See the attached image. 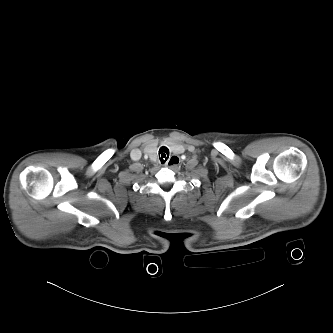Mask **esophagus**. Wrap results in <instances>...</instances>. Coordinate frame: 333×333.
<instances>
[{
  "label": "esophagus",
  "instance_id": "34e87169",
  "mask_svg": "<svg viewBox=\"0 0 333 333\" xmlns=\"http://www.w3.org/2000/svg\"><path fill=\"white\" fill-rule=\"evenodd\" d=\"M179 162V158H178V156H176V155H172L169 159H168V161H166V163H165V166L166 167H169V168H173V167H176Z\"/></svg>",
  "mask_w": 333,
  "mask_h": 333
}]
</instances>
